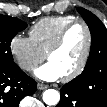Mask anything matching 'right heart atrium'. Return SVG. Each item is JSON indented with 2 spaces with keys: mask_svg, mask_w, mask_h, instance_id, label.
Wrapping results in <instances>:
<instances>
[{
  "mask_svg": "<svg viewBox=\"0 0 107 107\" xmlns=\"http://www.w3.org/2000/svg\"><path fill=\"white\" fill-rule=\"evenodd\" d=\"M9 48L19 67L26 72L33 71L46 57L30 37L22 34L11 38Z\"/></svg>",
  "mask_w": 107,
  "mask_h": 107,
  "instance_id": "1",
  "label": "right heart atrium"
}]
</instances>
